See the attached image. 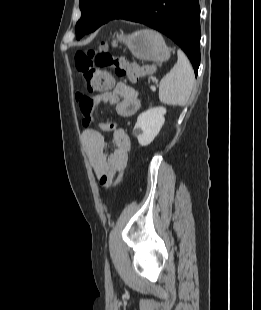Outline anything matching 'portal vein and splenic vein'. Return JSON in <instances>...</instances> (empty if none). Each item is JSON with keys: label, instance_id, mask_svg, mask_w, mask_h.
<instances>
[{"label": "portal vein and splenic vein", "instance_id": "portal-vein-and-splenic-vein-1", "mask_svg": "<svg viewBox=\"0 0 261 310\" xmlns=\"http://www.w3.org/2000/svg\"><path fill=\"white\" fill-rule=\"evenodd\" d=\"M151 89H152L153 91H155V90H156V88H155L154 86H152V87H151Z\"/></svg>", "mask_w": 261, "mask_h": 310}]
</instances>
